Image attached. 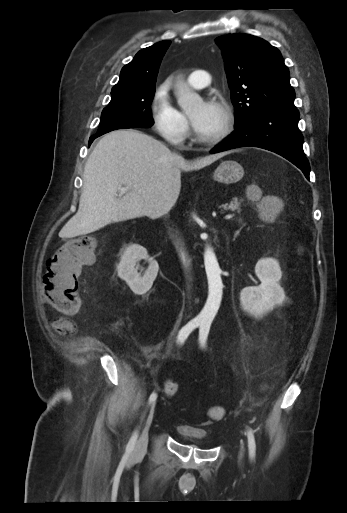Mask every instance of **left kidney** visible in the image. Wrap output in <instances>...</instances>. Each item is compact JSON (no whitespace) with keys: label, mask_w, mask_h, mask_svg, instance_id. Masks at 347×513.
Here are the masks:
<instances>
[{"label":"left kidney","mask_w":347,"mask_h":513,"mask_svg":"<svg viewBox=\"0 0 347 513\" xmlns=\"http://www.w3.org/2000/svg\"><path fill=\"white\" fill-rule=\"evenodd\" d=\"M255 273L261 284L257 287H245L240 293V303L244 311L260 318L282 304L285 293L280 286L282 272L277 260L260 259Z\"/></svg>","instance_id":"obj_1"}]
</instances>
